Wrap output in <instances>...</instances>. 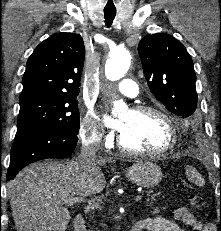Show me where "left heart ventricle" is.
<instances>
[{
	"mask_svg": "<svg viewBox=\"0 0 221 231\" xmlns=\"http://www.w3.org/2000/svg\"><path fill=\"white\" fill-rule=\"evenodd\" d=\"M120 120L123 122L122 140L130 148L156 151L170 143V128L166 121L156 114H137L128 110L120 116Z\"/></svg>",
	"mask_w": 221,
	"mask_h": 231,
	"instance_id": "obj_1",
	"label": "left heart ventricle"
}]
</instances>
